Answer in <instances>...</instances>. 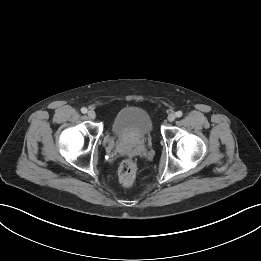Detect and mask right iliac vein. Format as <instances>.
Listing matches in <instances>:
<instances>
[{
	"label": "right iliac vein",
	"instance_id": "1",
	"mask_svg": "<svg viewBox=\"0 0 261 261\" xmlns=\"http://www.w3.org/2000/svg\"><path fill=\"white\" fill-rule=\"evenodd\" d=\"M87 115L90 119H95L96 118V113L93 110H89L87 112Z\"/></svg>",
	"mask_w": 261,
	"mask_h": 261
}]
</instances>
